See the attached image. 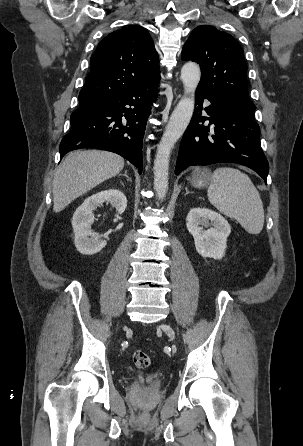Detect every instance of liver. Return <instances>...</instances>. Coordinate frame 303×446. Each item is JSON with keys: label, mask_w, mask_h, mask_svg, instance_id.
I'll return each mask as SVG.
<instances>
[{"label": "liver", "mask_w": 303, "mask_h": 446, "mask_svg": "<svg viewBox=\"0 0 303 446\" xmlns=\"http://www.w3.org/2000/svg\"><path fill=\"white\" fill-rule=\"evenodd\" d=\"M124 159L112 152L79 150L69 153L53 179V211L61 212L73 200L117 175Z\"/></svg>", "instance_id": "6515ba94"}]
</instances>
